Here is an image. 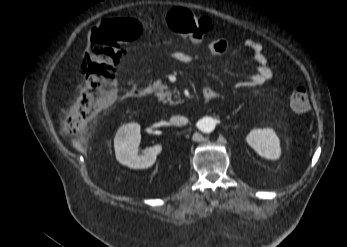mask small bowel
<instances>
[{
  "label": "small bowel",
  "instance_id": "small-bowel-1",
  "mask_svg": "<svg viewBox=\"0 0 347 247\" xmlns=\"http://www.w3.org/2000/svg\"><path fill=\"white\" fill-rule=\"evenodd\" d=\"M245 47L251 52L253 61L256 65V73L249 80L241 83V86L256 87L260 86L272 78L273 72L268 65V59L264 53L261 43L248 39L245 41ZM228 49L227 41L218 37L213 39L207 46L208 55L210 57L221 56ZM172 59L180 63H192L198 59V56L191 55L183 51H175L171 54Z\"/></svg>",
  "mask_w": 347,
  "mask_h": 247
}]
</instances>
